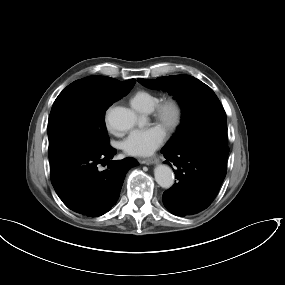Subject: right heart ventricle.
<instances>
[{"mask_svg": "<svg viewBox=\"0 0 285 285\" xmlns=\"http://www.w3.org/2000/svg\"><path fill=\"white\" fill-rule=\"evenodd\" d=\"M130 102L137 111L148 112L159 102V98L148 91L140 90L131 97Z\"/></svg>", "mask_w": 285, "mask_h": 285, "instance_id": "obj_1", "label": "right heart ventricle"}]
</instances>
